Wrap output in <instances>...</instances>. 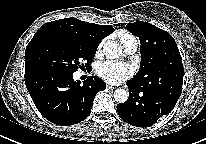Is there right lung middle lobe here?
<instances>
[{
  "label": "right lung middle lobe",
  "mask_w": 206,
  "mask_h": 144,
  "mask_svg": "<svg viewBox=\"0 0 206 144\" xmlns=\"http://www.w3.org/2000/svg\"><path fill=\"white\" fill-rule=\"evenodd\" d=\"M97 47L57 32H36L26 48L25 71L49 69L73 74L81 61H93Z\"/></svg>",
  "instance_id": "right-lung-middle-lobe-1"
}]
</instances>
